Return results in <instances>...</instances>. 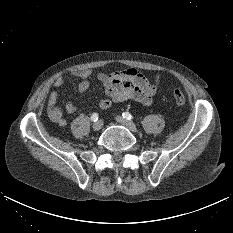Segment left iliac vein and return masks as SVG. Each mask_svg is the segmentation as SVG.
<instances>
[{
	"mask_svg": "<svg viewBox=\"0 0 233 233\" xmlns=\"http://www.w3.org/2000/svg\"><path fill=\"white\" fill-rule=\"evenodd\" d=\"M116 121L119 124H121V125L125 126L126 128H128L131 132L136 133L138 131L136 125L133 122H131L129 120H126V119L122 118L121 116H117Z\"/></svg>",
	"mask_w": 233,
	"mask_h": 233,
	"instance_id": "obj_1",
	"label": "left iliac vein"
}]
</instances>
